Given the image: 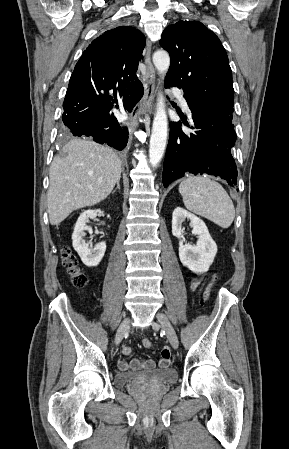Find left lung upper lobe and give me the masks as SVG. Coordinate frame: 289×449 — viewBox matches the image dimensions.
Returning <instances> with one entry per match:
<instances>
[{
  "instance_id": "obj_1",
  "label": "left lung upper lobe",
  "mask_w": 289,
  "mask_h": 449,
  "mask_svg": "<svg viewBox=\"0 0 289 449\" xmlns=\"http://www.w3.org/2000/svg\"><path fill=\"white\" fill-rule=\"evenodd\" d=\"M160 45L171 58L166 81L190 92L204 109L232 120V71L218 37L202 23L185 20L168 26Z\"/></svg>"
}]
</instances>
